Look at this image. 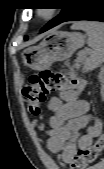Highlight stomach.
<instances>
[{"mask_svg":"<svg viewBox=\"0 0 104 169\" xmlns=\"http://www.w3.org/2000/svg\"><path fill=\"white\" fill-rule=\"evenodd\" d=\"M85 43V36L78 32L54 31L38 45L22 53L24 63L33 70L49 68L55 61L69 58Z\"/></svg>","mask_w":104,"mask_h":169,"instance_id":"stomach-1","label":"stomach"}]
</instances>
